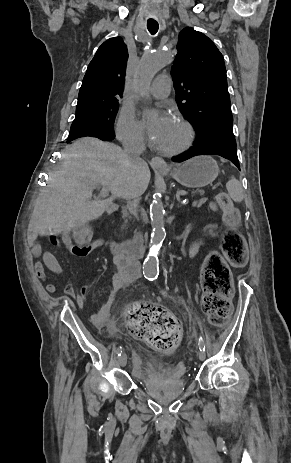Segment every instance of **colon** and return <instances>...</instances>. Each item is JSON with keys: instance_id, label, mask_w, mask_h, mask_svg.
<instances>
[{"instance_id": "1", "label": "colon", "mask_w": 291, "mask_h": 463, "mask_svg": "<svg viewBox=\"0 0 291 463\" xmlns=\"http://www.w3.org/2000/svg\"><path fill=\"white\" fill-rule=\"evenodd\" d=\"M216 202L228 227L222 240L225 258L232 266L241 267L246 263V245L243 236L236 230L240 223V212L225 193L218 194ZM91 238V229L81 224L75 227L71 237L74 247L88 244ZM48 239L51 243L55 241L53 235ZM226 260L219 253L212 252L202 269V307L209 321L215 325L223 323L232 312L233 285ZM127 322L133 335L163 352L173 349L181 335L176 319L150 304H133L127 312Z\"/></svg>"}]
</instances>
